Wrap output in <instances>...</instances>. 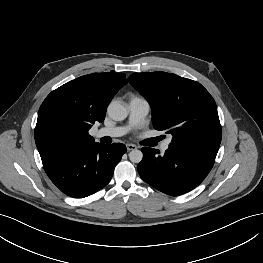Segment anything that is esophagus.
I'll use <instances>...</instances> for the list:
<instances>
[{"instance_id": "34e87169", "label": "esophagus", "mask_w": 263, "mask_h": 263, "mask_svg": "<svg viewBox=\"0 0 263 263\" xmlns=\"http://www.w3.org/2000/svg\"><path fill=\"white\" fill-rule=\"evenodd\" d=\"M126 147L128 151L137 149V146L134 144H127Z\"/></svg>"}]
</instances>
